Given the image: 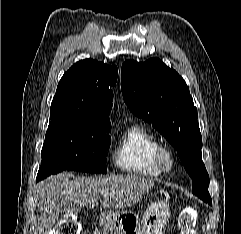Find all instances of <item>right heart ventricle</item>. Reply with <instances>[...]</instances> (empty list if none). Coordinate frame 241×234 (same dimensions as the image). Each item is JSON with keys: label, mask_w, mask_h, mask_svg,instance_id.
<instances>
[{"label": "right heart ventricle", "mask_w": 241, "mask_h": 234, "mask_svg": "<svg viewBox=\"0 0 241 234\" xmlns=\"http://www.w3.org/2000/svg\"><path fill=\"white\" fill-rule=\"evenodd\" d=\"M160 146L157 136L140 124L129 126L120 136L113 152L115 166L127 173L159 176L161 169L155 160Z\"/></svg>", "instance_id": "right-heart-ventricle-1"}]
</instances>
